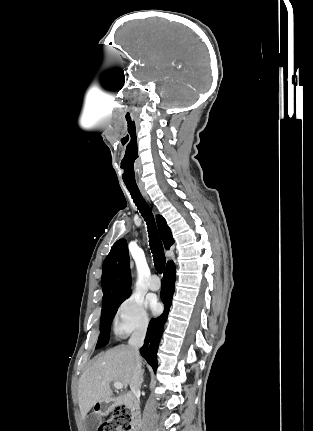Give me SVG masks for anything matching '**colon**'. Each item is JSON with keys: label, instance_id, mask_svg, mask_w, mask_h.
I'll use <instances>...</instances> for the list:
<instances>
[{"label": "colon", "instance_id": "1", "mask_svg": "<svg viewBox=\"0 0 313 431\" xmlns=\"http://www.w3.org/2000/svg\"><path fill=\"white\" fill-rule=\"evenodd\" d=\"M131 411L125 405H119L112 411L111 416L102 423L97 431H132Z\"/></svg>", "mask_w": 313, "mask_h": 431}]
</instances>
